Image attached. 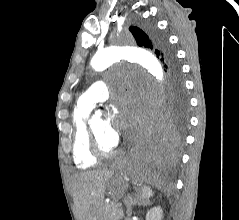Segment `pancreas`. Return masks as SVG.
<instances>
[{
	"instance_id": "cf45deb5",
	"label": "pancreas",
	"mask_w": 239,
	"mask_h": 220,
	"mask_svg": "<svg viewBox=\"0 0 239 220\" xmlns=\"http://www.w3.org/2000/svg\"><path fill=\"white\" fill-rule=\"evenodd\" d=\"M103 217L104 220H121L124 217V211L115 202H110L104 206Z\"/></svg>"
}]
</instances>
